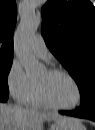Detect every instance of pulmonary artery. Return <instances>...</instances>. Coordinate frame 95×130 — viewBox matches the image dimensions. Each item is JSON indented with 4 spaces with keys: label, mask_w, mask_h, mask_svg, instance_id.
I'll return each mask as SVG.
<instances>
[{
    "label": "pulmonary artery",
    "mask_w": 95,
    "mask_h": 130,
    "mask_svg": "<svg viewBox=\"0 0 95 130\" xmlns=\"http://www.w3.org/2000/svg\"><path fill=\"white\" fill-rule=\"evenodd\" d=\"M31 48L33 53L40 58H46L48 56L47 46L40 34L35 35L32 39Z\"/></svg>",
    "instance_id": "pulmonary-artery-1"
}]
</instances>
